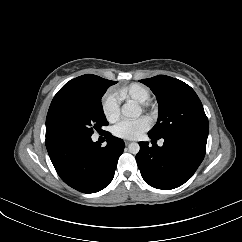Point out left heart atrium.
Returning a JSON list of instances; mask_svg holds the SVG:
<instances>
[{
    "mask_svg": "<svg viewBox=\"0 0 242 242\" xmlns=\"http://www.w3.org/2000/svg\"><path fill=\"white\" fill-rule=\"evenodd\" d=\"M150 128V121L141 117L133 121H121L113 127V134L122 139L136 140Z\"/></svg>",
    "mask_w": 242,
    "mask_h": 242,
    "instance_id": "39dd6f15",
    "label": "left heart atrium"
}]
</instances>
